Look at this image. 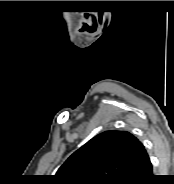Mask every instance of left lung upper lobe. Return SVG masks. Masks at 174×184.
I'll return each mask as SVG.
<instances>
[{
	"instance_id": "1",
	"label": "left lung upper lobe",
	"mask_w": 174,
	"mask_h": 184,
	"mask_svg": "<svg viewBox=\"0 0 174 184\" xmlns=\"http://www.w3.org/2000/svg\"><path fill=\"white\" fill-rule=\"evenodd\" d=\"M141 146L125 131H105L74 152L59 168L62 184H125Z\"/></svg>"
}]
</instances>
